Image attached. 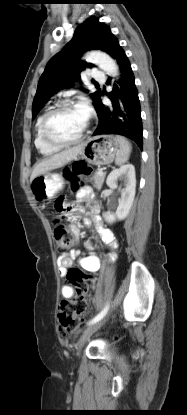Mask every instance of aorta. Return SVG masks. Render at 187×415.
Instances as JSON below:
<instances>
[{
    "mask_svg": "<svg viewBox=\"0 0 187 415\" xmlns=\"http://www.w3.org/2000/svg\"><path fill=\"white\" fill-rule=\"evenodd\" d=\"M86 61L97 65L100 69L107 72L109 75L117 77L119 75V68L116 62L105 52L91 51L84 57Z\"/></svg>",
    "mask_w": 187,
    "mask_h": 415,
    "instance_id": "aorta-1",
    "label": "aorta"
}]
</instances>
